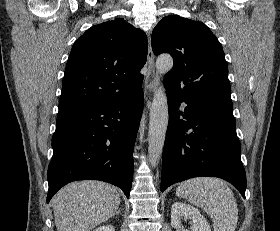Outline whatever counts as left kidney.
<instances>
[{"instance_id":"1","label":"left kidney","mask_w":280,"mask_h":231,"mask_svg":"<svg viewBox=\"0 0 280 231\" xmlns=\"http://www.w3.org/2000/svg\"><path fill=\"white\" fill-rule=\"evenodd\" d=\"M190 219L192 231H211L210 225L200 211L192 205L187 203H181V201H175L171 207V225L176 227L177 231H190V229H184L182 227V221Z\"/></svg>"}]
</instances>
